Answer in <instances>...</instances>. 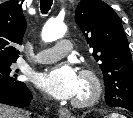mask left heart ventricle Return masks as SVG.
I'll return each mask as SVG.
<instances>
[{
	"label": "left heart ventricle",
	"instance_id": "obj_1",
	"mask_svg": "<svg viewBox=\"0 0 133 118\" xmlns=\"http://www.w3.org/2000/svg\"><path fill=\"white\" fill-rule=\"evenodd\" d=\"M80 80H81L80 89L75 98H84L87 96V94L89 92L86 83L82 79H80Z\"/></svg>",
	"mask_w": 133,
	"mask_h": 118
}]
</instances>
